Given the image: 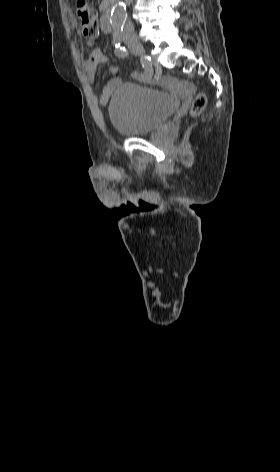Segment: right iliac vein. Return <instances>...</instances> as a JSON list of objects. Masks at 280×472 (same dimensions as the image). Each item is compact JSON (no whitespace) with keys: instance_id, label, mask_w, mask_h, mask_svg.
Segmentation results:
<instances>
[{"instance_id":"63e3f726","label":"right iliac vein","mask_w":280,"mask_h":472,"mask_svg":"<svg viewBox=\"0 0 280 472\" xmlns=\"http://www.w3.org/2000/svg\"><path fill=\"white\" fill-rule=\"evenodd\" d=\"M129 49L136 55L143 56L145 54V49L139 40L136 37L129 36L125 40Z\"/></svg>"}]
</instances>
